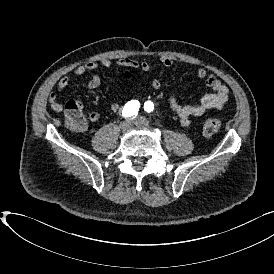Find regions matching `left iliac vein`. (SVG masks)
<instances>
[{
  "instance_id": "obj_1",
  "label": "left iliac vein",
  "mask_w": 274,
  "mask_h": 274,
  "mask_svg": "<svg viewBox=\"0 0 274 274\" xmlns=\"http://www.w3.org/2000/svg\"><path fill=\"white\" fill-rule=\"evenodd\" d=\"M135 125L138 127H149L150 123L149 121L142 116H138L135 121H134Z\"/></svg>"
}]
</instances>
